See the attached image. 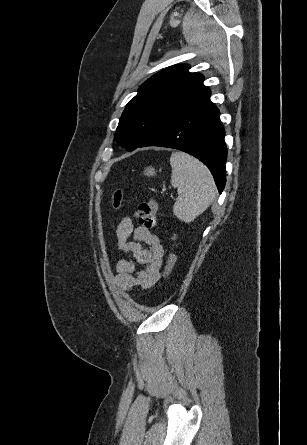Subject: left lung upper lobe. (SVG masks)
Masks as SVG:
<instances>
[{"mask_svg":"<svg viewBox=\"0 0 307 445\" xmlns=\"http://www.w3.org/2000/svg\"><path fill=\"white\" fill-rule=\"evenodd\" d=\"M188 65L169 67L148 79L126 105L117 128L118 142L129 151L210 96L203 76Z\"/></svg>","mask_w":307,"mask_h":445,"instance_id":"left-lung-upper-lobe-1","label":"left lung upper lobe"}]
</instances>
